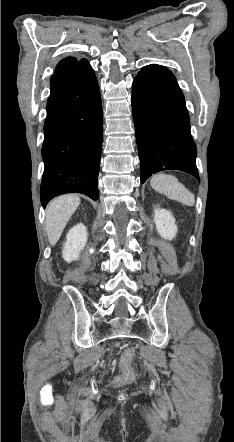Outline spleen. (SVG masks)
<instances>
[{
    "label": "spleen",
    "instance_id": "spleen-1",
    "mask_svg": "<svg viewBox=\"0 0 234 442\" xmlns=\"http://www.w3.org/2000/svg\"><path fill=\"white\" fill-rule=\"evenodd\" d=\"M151 187L167 196L169 199L177 200L186 206L195 204V196L178 179L169 174H156L150 180Z\"/></svg>",
    "mask_w": 234,
    "mask_h": 442
}]
</instances>
